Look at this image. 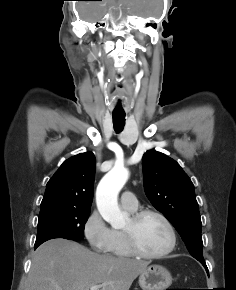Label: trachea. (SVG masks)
<instances>
[{"label": "trachea", "instance_id": "1", "mask_svg": "<svg viewBox=\"0 0 236 290\" xmlns=\"http://www.w3.org/2000/svg\"><path fill=\"white\" fill-rule=\"evenodd\" d=\"M113 126L114 130L119 133L125 126V114L124 113H113Z\"/></svg>", "mask_w": 236, "mask_h": 290}]
</instances>
